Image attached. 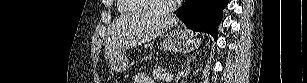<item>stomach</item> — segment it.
Wrapping results in <instances>:
<instances>
[{"label":"stomach","instance_id":"stomach-1","mask_svg":"<svg viewBox=\"0 0 307 83\" xmlns=\"http://www.w3.org/2000/svg\"><path fill=\"white\" fill-rule=\"evenodd\" d=\"M200 39H194L187 30H174L163 41L165 51L187 53L198 46ZM109 65L115 72H124L129 68V60L122 54L109 59Z\"/></svg>","mask_w":307,"mask_h":83}]
</instances>
